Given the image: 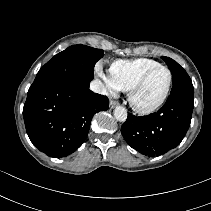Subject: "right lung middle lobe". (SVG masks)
I'll list each match as a JSON object with an SVG mask.
<instances>
[{
	"label": "right lung middle lobe",
	"instance_id": "right-lung-middle-lobe-1",
	"mask_svg": "<svg viewBox=\"0 0 211 211\" xmlns=\"http://www.w3.org/2000/svg\"><path fill=\"white\" fill-rule=\"evenodd\" d=\"M103 50L85 45H73L55 55L37 73L35 81L62 80L89 86L95 63Z\"/></svg>",
	"mask_w": 211,
	"mask_h": 211
}]
</instances>
